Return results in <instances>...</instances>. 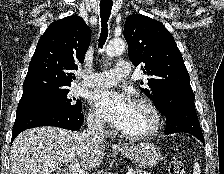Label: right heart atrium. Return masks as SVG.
Listing matches in <instances>:
<instances>
[{
    "label": "right heart atrium",
    "mask_w": 224,
    "mask_h": 174,
    "mask_svg": "<svg viewBox=\"0 0 224 174\" xmlns=\"http://www.w3.org/2000/svg\"><path fill=\"white\" fill-rule=\"evenodd\" d=\"M88 123L92 128L97 130H102L105 125L103 118L94 110H91L88 114Z\"/></svg>",
    "instance_id": "1"
}]
</instances>
